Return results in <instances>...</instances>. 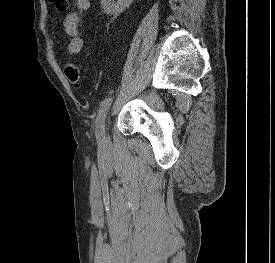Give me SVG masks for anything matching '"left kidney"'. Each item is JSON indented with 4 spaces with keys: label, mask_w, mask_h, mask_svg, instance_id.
Here are the masks:
<instances>
[{
    "label": "left kidney",
    "mask_w": 275,
    "mask_h": 263,
    "mask_svg": "<svg viewBox=\"0 0 275 263\" xmlns=\"http://www.w3.org/2000/svg\"><path fill=\"white\" fill-rule=\"evenodd\" d=\"M133 0H101V5L105 13L110 15H118L130 6Z\"/></svg>",
    "instance_id": "1"
}]
</instances>
